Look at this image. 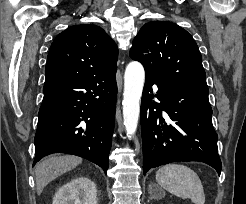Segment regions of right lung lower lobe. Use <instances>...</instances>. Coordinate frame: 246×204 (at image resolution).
Segmentation results:
<instances>
[{
	"label": "right lung lower lobe",
	"mask_w": 246,
	"mask_h": 204,
	"mask_svg": "<svg viewBox=\"0 0 246 204\" xmlns=\"http://www.w3.org/2000/svg\"><path fill=\"white\" fill-rule=\"evenodd\" d=\"M115 74L44 85L33 166L46 155L67 153L94 162L106 173L115 122Z\"/></svg>",
	"instance_id": "98d812e1"
}]
</instances>
